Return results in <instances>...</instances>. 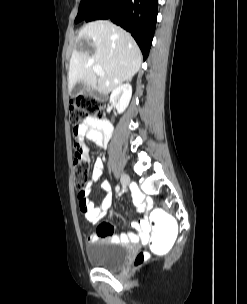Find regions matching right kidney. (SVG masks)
Masks as SVG:
<instances>
[{
  "instance_id": "obj_1",
  "label": "right kidney",
  "mask_w": 247,
  "mask_h": 304,
  "mask_svg": "<svg viewBox=\"0 0 247 304\" xmlns=\"http://www.w3.org/2000/svg\"><path fill=\"white\" fill-rule=\"evenodd\" d=\"M131 97L132 86L129 83H125L113 90L110 102L115 106L117 112L121 114L128 107Z\"/></svg>"
}]
</instances>
